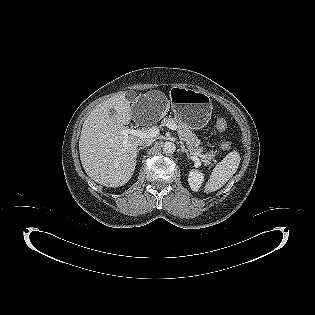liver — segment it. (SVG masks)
<instances>
[{
  "label": "liver",
  "instance_id": "liver-1",
  "mask_svg": "<svg viewBox=\"0 0 315 315\" xmlns=\"http://www.w3.org/2000/svg\"><path fill=\"white\" fill-rule=\"evenodd\" d=\"M111 109L115 114L110 115ZM131 112L130 101L122 93L97 105L83 123L80 160L87 175L101 185L122 186L134 173L138 141L142 138L130 134L125 137L121 133L132 118Z\"/></svg>",
  "mask_w": 315,
  "mask_h": 315
}]
</instances>
